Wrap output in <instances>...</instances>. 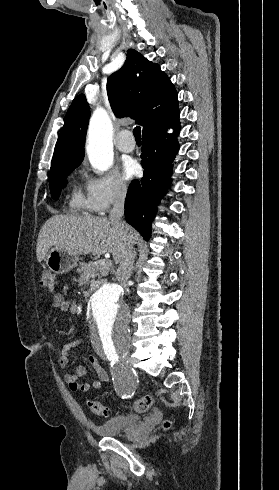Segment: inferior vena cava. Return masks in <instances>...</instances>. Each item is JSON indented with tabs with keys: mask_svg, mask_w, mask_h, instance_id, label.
Segmentation results:
<instances>
[{
	"mask_svg": "<svg viewBox=\"0 0 279 490\" xmlns=\"http://www.w3.org/2000/svg\"><path fill=\"white\" fill-rule=\"evenodd\" d=\"M125 198L126 190H124L122 186H116L113 192V208L109 214V220L112 226H117V228H120L119 236H122L126 246L125 252L119 262V268L116 272V280L119 282L121 288H124L126 294H129L128 278H130L132 274L136 252L134 248V240H132V238H128L127 232L124 230L126 224L121 220L124 214Z\"/></svg>",
	"mask_w": 279,
	"mask_h": 490,
	"instance_id": "1",
	"label": "inferior vena cava"
}]
</instances>
